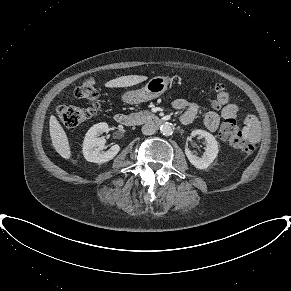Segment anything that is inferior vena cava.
Instances as JSON below:
<instances>
[{
    "mask_svg": "<svg viewBox=\"0 0 291 291\" xmlns=\"http://www.w3.org/2000/svg\"><path fill=\"white\" fill-rule=\"evenodd\" d=\"M156 132V126L154 123L148 122L142 127V133L144 135H152Z\"/></svg>",
    "mask_w": 291,
    "mask_h": 291,
    "instance_id": "obj_1",
    "label": "inferior vena cava"
}]
</instances>
